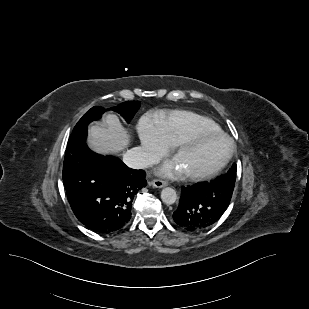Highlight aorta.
Wrapping results in <instances>:
<instances>
[{
    "instance_id": "1",
    "label": "aorta",
    "mask_w": 309,
    "mask_h": 309,
    "mask_svg": "<svg viewBox=\"0 0 309 309\" xmlns=\"http://www.w3.org/2000/svg\"><path fill=\"white\" fill-rule=\"evenodd\" d=\"M161 199L166 205L174 204L177 200L176 191L173 188L166 187L161 191Z\"/></svg>"
}]
</instances>
